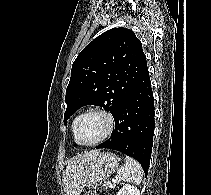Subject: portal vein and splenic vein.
Wrapping results in <instances>:
<instances>
[{
  "label": "portal vein and splenic vein",
  "instance_id": "portal-vein-and-splenic-vein-1",
  "mask_svg": "<svg viewBox=\"0 0 211 195\" xmlns=\"http://www.w3.org/2000/svg\"><path fill=\"white\" fill-rule=\"evenodd\" d=\"M113 184H115L116 182L120 181V178H116V179H113Z\"/></svg>",
  "mask_w": 211,
  "mask_h": 195
}]
</instances>
